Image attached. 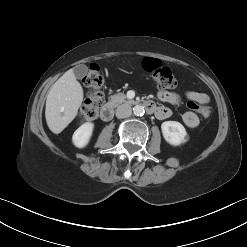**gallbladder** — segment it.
<instances>
[{"label":"gallbladder","mask_w":247,"mask_h":247,"mask_svg":"<svg viewBox=\"0 0 247 247\" xmlns=\"http://www.w3.org/2000/svg\"><path fill=\"white\" fill-rule=\"evenodd\" d=\"M73 72L77 78H81L88 72V68L85 65H78L74 68Z\"/></svg>","instance_id":"obj_1"}]
</instances>
